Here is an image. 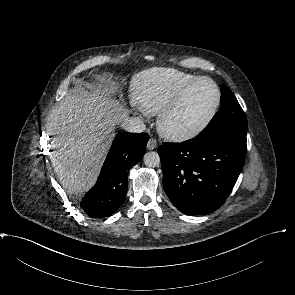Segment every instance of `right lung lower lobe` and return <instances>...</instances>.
Here are the masks:
<instances>
[{
	"mask_svg": "<svg viewBox=\"0 0 295 295\" xmlns=\"http://www.w3.org/2000/svg\"><path fill=\"white\" fill-rule=\"evenodd\" d=\"M147 133L118 135L94 187L85 195L80 207L92 218L108 217L121 206L128 186V171L145 154Z\"/></svg>",
	"mask_w": 295,
	"mask_h": 295,
	"instance_id": "98d812e1",
	"label": "right lung lower lobe"
}]
</instances>
